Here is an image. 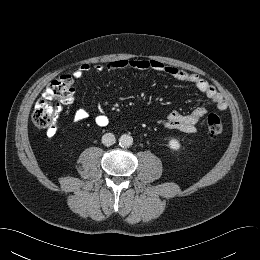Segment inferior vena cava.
<instances>
[{"instance_id":"obj_1","label":"inferior vena cava","mask_w":260,"mask_h":260,"mask_svg":"<svg viewBox=\"0 0 260 260\" xmlns=\"http://www.w3.org/2000/svg\"><path fill=\"white\" fill-rule=\"evenodd\" d=\"M115 141H116L115 136L112 133H105L102 136V143L105 146H111V145H113L115 143Z\"/></svg>"}]
</instances>
